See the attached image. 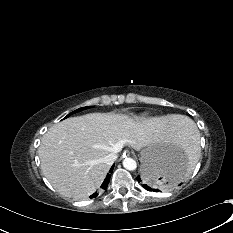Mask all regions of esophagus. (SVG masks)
<instances>
[{
  "label": "esophagus",
  "instance_id": "34e87169",
  "mask_svg": "<svg viewBox=\"0 0 233 233\" xmlns=\"http://www.w3.org/2000/svg\"><path fill=\"white\" fill-rule=\"evenodd\" d=\"M130 155V152L128 151V150H126L125 152H124V156H129Z\"/></svg>",
  "mask_w": 233,
  "mask_h": 233
}]
</instances>
